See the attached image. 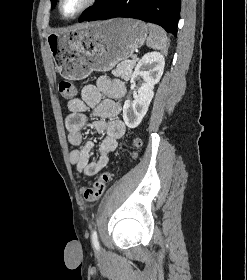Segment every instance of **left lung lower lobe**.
<instances>
[{
    "instance_id": "obj_1",
    "label": "left lung lower lobe",
    "mask_w": 247,
    "mask_h": 280,
    "mask_svg": "<svg viewBox=\"0 0 247 280\" xmlns=\"http://www.w3.org/2000/svg\"><path fill=\"white\" fill-rule=\"evenodd\" d=\"M180 10L181 0H108L79 22L129 17L158 24L177 36Z\"/></svg>"
}]
</instances>
